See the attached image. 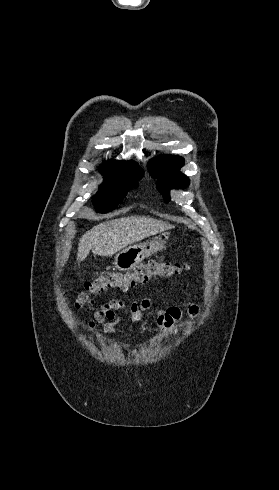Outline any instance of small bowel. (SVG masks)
<instances>
[{
	"label": "small bowel",
	"mask_w": 279,
	"mask_h": 490,
	"mask_svg": "<svg viewBox=\"0 0 279 490\" xmlns=\"http://www.w3.org/2000/svg\"><path fill=\"white\" fill-rule=\"evenodd\" d=\"M126 307L123 300H112L104 304L100 309L95 311L92 317L87 321L89 333L95 329L97 324H102L106 329L111 328L119 319L121 311ZM154 307V302L150 298L134 300L129 305L130 318L133 321H140L145 311ZM187 313L193 318L199 317V308L194 304H187L185 307ZM183 310L175 305L166 308H160L156 312V329L162 333H169L175 324L183 317ZM185 325V324H184Z\"/></svg>",
	"instance_id": "c3829d8e"
}]
</instances>
